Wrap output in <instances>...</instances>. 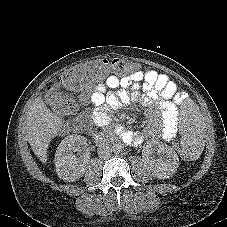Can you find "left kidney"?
Segmentation results:
<instances>
[{"label": "left kidney", "instance_id": "1", "mask_svg": "<svg viewBox=\"0 0 227 227\" xmlns=\"http://www.w3.org/2000/svg\"><path fill=\"white\" fill-rule=\"evenodd\" d=\"M157 151L158 158L152 156ZM143 157L152 175L158 179H167L172 176L178 168L179 158L177 153L165 143L150 140L143 150Z\"/></svg>", "mask_w": 227, "mask_h": 227}]
</instances>
